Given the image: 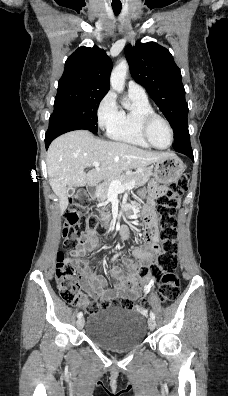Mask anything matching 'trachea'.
Wrapping results in <instances>:
<instances>
[{
	"label": "trachea",
	"instance_id": "obj_1",
	"mask_svg": "<svg viewBox=\"0 0 228 396\" xmlns=\"http://www.w3.org/2000/svg\"><path fill=\"white\" fill-rule=\"evenodd\" d=\"M112 8L116 16L121 12V6H113Z\"/></svg>",
	"mask_w": 228,
	"mask_h": 396
}]
</instances>
